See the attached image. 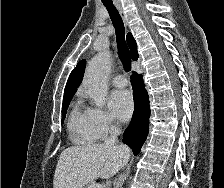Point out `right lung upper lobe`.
Instances as JSON below:
<instances>
[{"mask_svg": "<svg viewBox=\"0 0 224 188\" xmlns=\"http://www.w3.org/2000/svg\"><path fill=\"white\" fill-rule=\"evenodd\" d=\"M127 43L131 51L132 59L137 60L138 58L137 45L131 33L127 34ZM85 66L86 61L81 60L77 64L76 68L71 72L65 86L63 101L72 98L75 92L77 91V88L81 84L84 75Z\"/></svg>", "mask_w": 224, "mask_h": 188, "instance_id": "1", "label": "right lung upper lobe"}]
</instances>
